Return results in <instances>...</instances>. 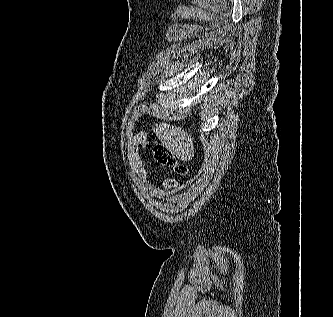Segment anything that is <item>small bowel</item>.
Masks as SVG:
<instances>
[{
  "mask_svg": "<svg viewBox=\"0 0 333 317\" xmlns=\"http://www.w3.org/2000/svg\"><path fill=\"white\" fill-rule=\"evenodd\" d=\"M147 145V138L144 133H138L134 135L128 145V154L131 163L142 182L148 180V172L143 163L140 149ZM177 190V185L172 179H166L159 190L161 196H168L173 194Z\"/></svg>",
  "mask_w": 333,
  "mask_h": 317,
  "instance_id": "obj_1",
  "label": "small bowel"
}]
</instances>
